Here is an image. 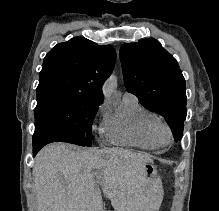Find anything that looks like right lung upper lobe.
<instances>
[{
    "label": "right lung upper lobe",
    "instance_id": "right-lung-upper-lobe-1",
    "mask_svg": "<svg viewBox=\"0 0 219 211\" xmlns=\"http://www.w3.org/2000/svg\"><path fill=\"white\" fill-rule=\"evenodd\" d=\"M115 61L111 45L74 37L45 56L36 93L60 92L103 102L102 85Z\"/></svg>",
    "mask_w": 219,
    "mask_h": 211
}]
</instances>
